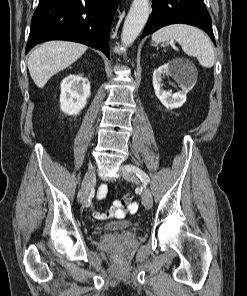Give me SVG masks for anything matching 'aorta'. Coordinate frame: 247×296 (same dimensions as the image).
<instances>
[{
    "mask_svg": "<svg viewBox=\"0 0 247 296\" xmlns=\"http://www.w3.org/2000/svg\"><path fill=\"white\" fill-rule=\"evenodd\" d=\"M149 14V0H133L122 29L121 41L124 45H130L135 41L145 26Z\"/></svg>",
    "mask_w": 247,
    "mask_h": 296,
    "instance_id": "1",
    "label": "aorta"
}]
</instances>
